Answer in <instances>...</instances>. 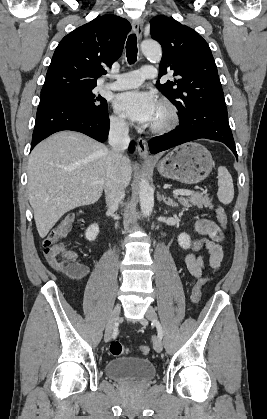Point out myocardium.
I'll return each mask as SVG.
<instances>
[{"instance_id": "1", "label": "myocardium", "mask_w": 267, "mask_h": 419, "mask_svg": "<svg viewBox=\"0 0 267 419\" xmlns=\"http://www.w3.org/2000/svg\"><path fill=\"white\" fill-rule=\"evenodd\" d=\"M161 106L167 112V119L157 125H151L149 130L153 134H166L174 130L179 124V112L177 107L169 100L162 99L159 101Z\"/></svg>"}]
</instances>
